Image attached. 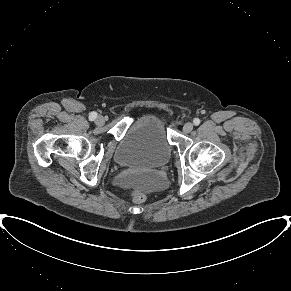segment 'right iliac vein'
<instances>
[{
    "mask_svg": "<svg viewBox=\"0 0 291 291\" xmlns=\"http://www.w3.org/2000/svg\"><path fill=\"white\" fill-rule=\"evenodd\" d=\"M96 124L97 125H103L105 123V119L103 116L99 115L96 117V120H95Z\"/></svg>",
    "mask_w": 291,
    "mask_h": 291,
    "instance_id": "63e3f726",
    "label": "right iliac vein"
}]
</instances>
